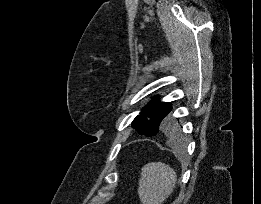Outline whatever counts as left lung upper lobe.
Wrapping results in <instances>:
<instances>
[{
  "label": "left lung upper lobe",
  "mask_w": 261,
  "mask_h": 204,
  "mask_svg": "<svg viewBox=\"0 0 261 204\" xmlns=\"http://www.w3.org/2000/svg\"><path fill=\"white\" fill-rule=\"evenodd\" d=\"M170 111L169 103L159 102L155 97L133 120L132 126L141 135L154 136L159 130H163L167 122L166 116Z\"/></svg>",
  "instance_id": "5c2ea615"
}]
</instances>
